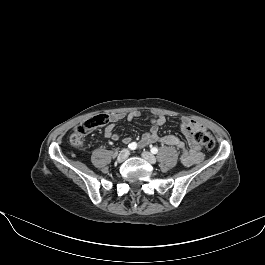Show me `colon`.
Returning a JSON list of instances; mask_svg holds the SVG:
<instances>
[{
	"mask_svg": "<svg viewBox=\"0 0 265 265\" xmlns=\"http://www.w3.org/2000/svg\"><path fill=\"white\" fill-rule=\"evenodd\" d=\"M109 122V115L97 114L79 124L70 137V142L74 146H80L83 139L96 129L106 125ZM195 139L203 148L212 149L215 146V139L211 132L199 130L195 134Z\"/></svg>",
	"mask_w": 265,
	"mask_h": 265,
	"instance_id": "colon-1",
	"label": "colon"
}]
</instances>
